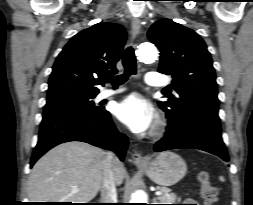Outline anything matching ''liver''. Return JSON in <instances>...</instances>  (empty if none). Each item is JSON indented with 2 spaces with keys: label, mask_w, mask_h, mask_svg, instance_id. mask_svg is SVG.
Returning a JSON list of instances; mask_svg holds the SVG:
<instances>
[{
  "label": "liver",
  "mask_w": 253,
  "mask_h": 205,
  "mask_svg": "<svg viewBox=\"0 0 253 205\" xmlns=\"http://www.w3.org/2000/svg\"><path fill=\"white\" fill-rule=\"evenodd\" d=\"M105 160L103 150L87 143L60 144L32 168L28 197L31 202L88 203L101 189ZM113 172L116 184L121 185L125 168L116 157ZM74 187L79 190L74 192Z\"/></svg>",
  "instance_id": "obj_1"
}]
</instances>
